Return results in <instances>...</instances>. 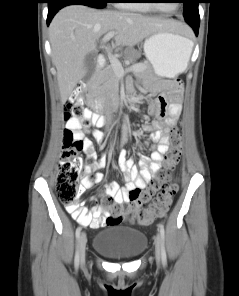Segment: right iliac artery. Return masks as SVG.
<instances>
[{
	"label": "right iliac artery",
	"instance_id": "1",
	"mask_svg": "<svg viewBox=\"0 0 239 296\" xmlns=\"http://www.w3.org/2000/svg\"><path fill=\"white\" fill-rule=\"evenodd\" d=\"M80 232H81V227H77L76 229V239L79 240L80 238ZM75 268L77 269L78 266H79V250H78V246H77V250H76V253H75Z\"/></svg>",
	"mask_w": 239,
	"mask_h": 296
}]
</instances>
